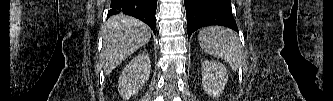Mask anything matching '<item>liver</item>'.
<instances>
[{"label": "liver", "instance_id": "liver-1", "mask_svg": "<svg viewBox=\"0 0 333 101\" xmlns=\"http://www.w3.org/2000/svg\"><path fill=\"white\" fill-rule=\"evenodd\" d=\"M151 38L150 28L138 19L115 15L108 19L103 33V49L100 66L109 74L129 55L147 44Z\"/></svg>", "mask_w": 333, "mask_h": 101}]
</instances>
